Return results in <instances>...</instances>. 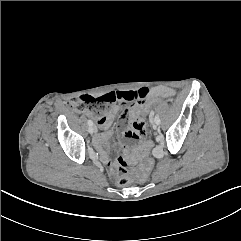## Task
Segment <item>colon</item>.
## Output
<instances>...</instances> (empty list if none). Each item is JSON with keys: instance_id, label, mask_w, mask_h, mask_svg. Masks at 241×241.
<instances>
[{"instance_id": "obj_1", "label": "colon", "mask_w": 241, "mask_h": 241, "mask_svg": "<svg viewBox=\"0 0 241 241\" xmlns=\"http://www.w3.org/2000/svg\"><path fill=\"white\" fill-rule=\"evenodd\" d=\"M118 102V99L112 95L111 93L103 95L101 97H93L88 95H83L77 97L70 101V107L77 112H86L99 119L104 117L112 104ZM165 104L172 106L174 104L173 98L165 97L163 99ZM124 104V103H123ZM156 104L155 100L146 102L145 104H141L139 108V118L142 122L148 121L147 114L151 108H154ZM123 122V118H121V123ZM151 141L149 139H144L141 143V155L143 157H148L150 155ZM129 166L128 159L126 157H119L115 167L116 170L120 173H125ZM147 167L142 170V176H146ZM130 182L129 178L122 175L117 179V183L119 186H126Z\"/></svg>"}]
</instances>
